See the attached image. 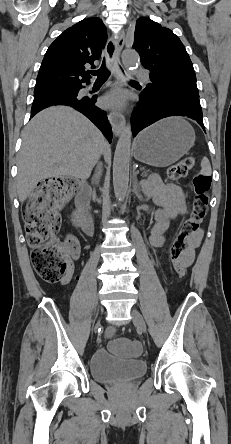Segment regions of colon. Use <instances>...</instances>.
<instances>
[{
  "instance_id": "colon-1",
  "label": "colon",
  "mask_w": 231,
  "mask_h": 444,
  "mask_svg": "<svg viewBox=\"0 0 231 444\" xmlns=\"http://www.w3.org/2000/svg\"><path fill=\"white\" fill-rule=\"evenodd\" d=\"M194 158L187 156L169 167L167 175L177 181L185 178L194 167ZM194 196L190 216L182 223L169 249V260L179 277L186 275L187 266L182 257L190 239L198 232L208 208L210 181L198 174L194 178ZM79 186L76 180L53 177L38 184L28 198L24 210V223L31 261L36 273L48 283H56L71 269L74 258L56 238L61 224L60 208ZM114 352L128 350L138 352L139 344L124 338L111 341Z\"/></svg>"
}]
</instances>
